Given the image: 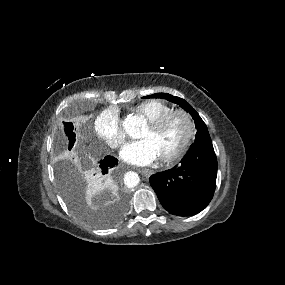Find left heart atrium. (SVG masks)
<instances>
[{
    "instance_id": "left-heart-atrium-1",
    "label": "left heart atrium",
    "mask_w": 285,
    "mask_h": 285,
    "mask_svg": "<svg viewBox=\"0 0 285 285\" xmlns=\"http://www.w3.org/2000/svg\"><path fill=\"white\" fill-rule=\"evenodd\" d=\"M121 158L134 165L145 166L156 161L160 155L151 139H142L128 143L120 152Z\"/></svg>"
}]
</instances>
